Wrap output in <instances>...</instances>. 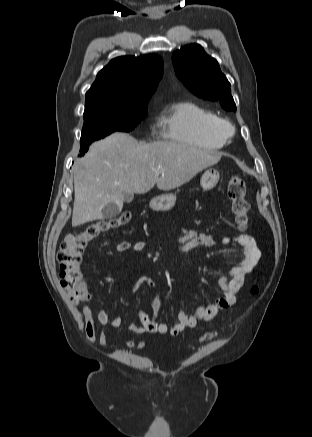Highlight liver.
I'll list each match as a JSON object with an SVG mask.
<instances>
[{"label":"liver","mask_w":312,"mask_h":437,"mask_svg":"<svg viewBox=\"0 0 312 437\" xmlns=\"http://www.w3.org/2000/svg\"><path fill=\"white\" fill-rule=\"evenodd\" d=\"M221 157L219 152L188 144L138 143L128 134H111L91 144L86 155L74 163L72 226L102 219L105 205H122L124 193L144 194L155 184L164 191L178 188Z\"/></svg>","instance_id":"obj_1"}]
</instances>
